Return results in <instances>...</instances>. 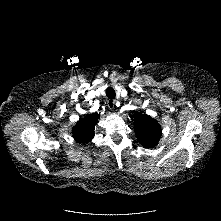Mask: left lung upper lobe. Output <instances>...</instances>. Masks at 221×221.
I'll list each match as a JSON object with an SVG mask.
<instances>
[{
	"instance_id": "5c2ea615",
	"label": "left lung upper lobe",
	"mask_w": 221,
	"mask_h": 221,
	"mask_svg": "<svg viewBox=\"0 0 221 221\" xmlns=\"http://www.w3.org/2000/svg\"><path fill=\"white\" fill-rule=\"evenodd\" d=\"M134 129L139 142L146 148L154 147L161 137V127L148 115H134Z\"/></svg>"
}]
</instances>
